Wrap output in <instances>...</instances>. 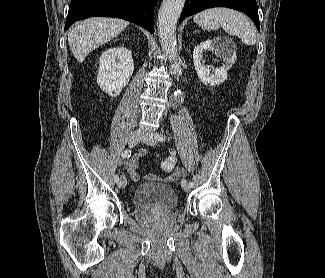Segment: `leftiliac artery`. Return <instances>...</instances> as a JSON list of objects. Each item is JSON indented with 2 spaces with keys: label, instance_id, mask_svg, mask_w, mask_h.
Segmentation results:
<instances>
[{
  "label": "left iliac artery",
  "instance_id": "obj_1",
  "mask_svg": "<svg viewBox=\"0 0 325 278\" xmlns=\"http://www.w3.org/2000/svg\"><path fill=\"white\" fill-rule=\"evenodd\" d=\"M155 139L160 141V142L165 141V137L162 134H159V133L155 134ZM189 185H190V187H193L194 183L192 181H189Z\"/></svg>",
  "mask_w": 325,
  "mask_h": 278
}]
</instances>
